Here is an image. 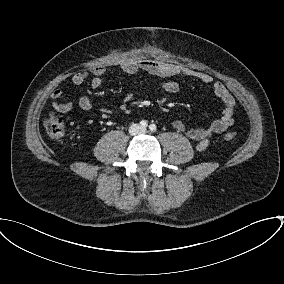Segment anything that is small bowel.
Returning <instances> with one entry per match:
<instances>
[{
	"instance_id": "obj_1",
	"label": "small bowel",
	"mask_w": 284,
	"mask_h": 284,
	"mask_svg": "<svg viewBox=\"0 0 284 284\" xmlns=\"http://www.w3.org/2000/svg\"><path fill=\"white\" fill-rule=\"evenodd\" d=\"M120 68L126 74L145 71L163 78L164 80L161 83V87L164 91L171 94L179 91V84L173 80L175 76L185 75L195 77L205 84H212L213 82L212 76L207 73L184 69L175 64L152 59L128 60L122 63ZM105 74L106 67L96 66L91 68L90 71H79L75 73L72 76V81L74 84L79 85L91 76L92 88H99L103 84ZM212 89L215 96L219 98L223 104V110L219 118L205 127H188L180 120L173 122V127L182 132L187 138L194 141L198 150L205 149L209 145L213 135L223 133L234 121L236 102L229 90L223 84L217 82L213 83ZM51 98L53 100V108L60 113H67L73 107L71 101L63 100V91L61 89H55L51 93ZM78 105L84 111H90L92 109V102L87 96H81Z\"/></svg>"
}]
</instances>
